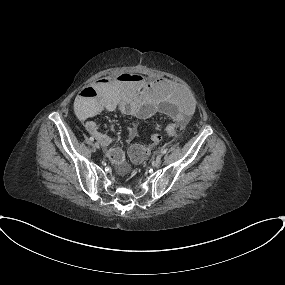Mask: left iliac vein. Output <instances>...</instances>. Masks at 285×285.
<instances>
[{
    "label": "left iliac vein",
    "mask_w": 285,
    "mask_h": 285,
    "mask_svg": "<svg viewBox=\"0 0 285 285\" xmlns=\"http://www.w3.org/2000/svg\"><path fill=\"white\" fill-rule=\"evenodd\" d=\"M161 159H162V154H159V155L156 157V159H155V164H156V165L160 164Z\"/></svg>",
    "instance_id": "left-iliac-vein-1"
}]
</instances>
